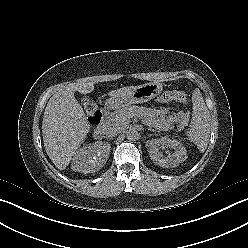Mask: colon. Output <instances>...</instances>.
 <instances>
[{
  "label": "colon",
  "instance_id": "colon-1",
  "mask_svg": "<svg viewBox=\"0 0 248 248\" xmlns=\"http://www.w3.org/2000/svg\"><path fill=\"white\" fill-rule=\"evenodd\" d=\"M157 100L159 102H168L174 100L183 104H187L188 97L187 94L182 91H165L157 98ZM83 105L86 111L88 122L92 126H95L100 116V109L96 99L85 98L83 100Z\"/></svg>",
  "mask_w": 248,
  "mask_h": 248
}]
</instances>
